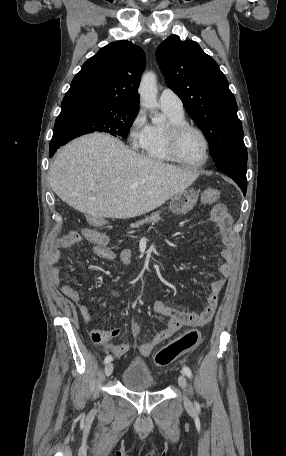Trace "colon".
<instances>
[{
  "mask_svg": "<svg viewBox=\"0 0 286 456\" xmlns=\"http://www.w3.org/2000/svg\"><path fill=\"white\" fill-rule=\"evenodd\" d=\"M220 196L217 189H208L203 193L202 201L210 204L216 201ZM79 233L76 232V235ZM201 342V334L198 330H191L177 337L165 347L161 348L155 355V363L164 367L174 362L179 356L187 353L197 347ZM142 354L148 353V347L144 346Z\"/></svg>",
  "mask_w": 286,
  "mask_h": 456,
  "instance_id": "obj_1",
  "label": "colon"
}]
</instances>
